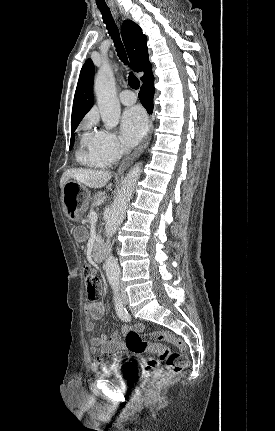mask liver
<instances>
[{
  "label": "liver",
  "instance_id": "6515ba94",
  "mask_svg": "<svg viewBox=\"0 0 275 431\" xmlns=\"http://www.w3.org/2000/svg\"><path fill=\"white\" fill-rule=\"evenodd\" d=\"M112 175L107 171H96L90 169H69L65 171L60 179L61 189L70 179H74L89 188H102L107 185ZM111 183L107 188L111 187Z\"/></svg>",
  "mask_w": 275,
  "mask_h": 431
}]
</instances>
